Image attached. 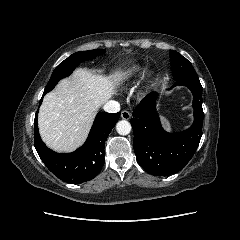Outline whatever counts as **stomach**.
<instances>
[{
	"instance_id": "stomach-1",
	"label": "stomach",
	"mask_w": 240,
	"mask_h": 240,
	"mask_svg": "<svg viewBox=\"0 0 240 240\" xmlns=\"http://www.w3.org/2000/svg\"><path fill=\"white\" fill-rule=\"evenodd\" d=\"M165 125H166L167 128L170 127L169 124H168V122H167L166 120H165Z\"/></svg>"
}]
</instances>
